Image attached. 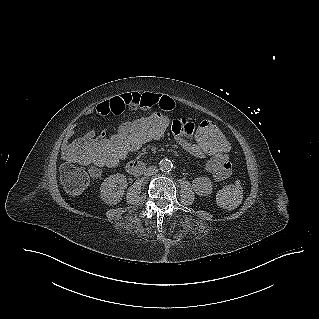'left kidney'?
<instances>
[{"mask_svg": "<svg viewBox=\"0 0 319 319\" xmlns=\"http://www.w3.org/2000/svg\"><path fill=\"white\" fill-rule=\"evenodd\" d=\"M213 184L208 177H198L193 181V188L197 195L208 196L212 193Z\"/></svg>", "mask_w": 319, "mask_h": 319, "instance_id": "obj_1", "label": "left kidney"}]
</instances>
